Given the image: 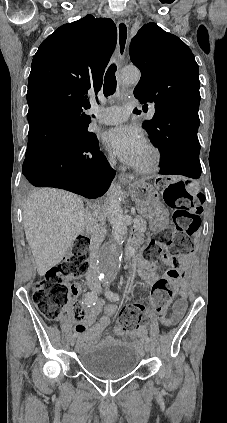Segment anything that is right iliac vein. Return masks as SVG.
Segmentation results:
<instances>
[{"mask_svg": "<svg viewBox=\"0 0 227 423\" xmlns=\"http://www.w3.org/2000/svg\"><path fill=\"white\" fill-rule=\"evenodd\" d=\"M93 290H95V289H93ZM69 342H70V345L73 346L75 344V338L72 337Z\"/></svg>", "mask_w": 227, "mask_h": 423, "instance_id": "right-iliac-vein-1", "label": "right iliac vein"}]
</instances>
